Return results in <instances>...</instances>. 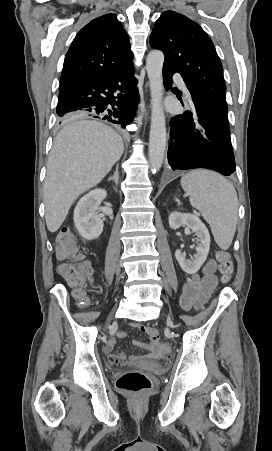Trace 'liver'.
<instances>
[{
    "mask_svg": "<svg viewBox=\"0 0 272 451\" xmlns=\"http://www.w3.org/2000/svg\"><path fill=\"white\" fill-rule=\"evenodd\" d=\"M124 150L121 136L86 116H73L58 132L47 162L45 220L49 231L62 226L80 194L97 186Z\"/></svg>",
    "mask_w": 272,
    "mask_h": 451,
    "instance_id": "liver-1",
    "label": "liver"
}]
</instances>
